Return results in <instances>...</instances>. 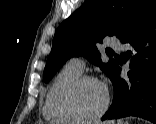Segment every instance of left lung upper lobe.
Wrapping results in <instances>:
<instances>
[{"label":"left lung upper lobe","mask_w":156,"mask_h":124,"mask_svg":"<svg viewBox=\"0 0 156 124\" xmlns=\"http://www.w3.org/2000/svg\"><path fill=\"white\" fill-rule=\"evenodd\" d=\"M151 0H86L57 28L47 59L45 82L71 57L82 55L99 66L109 78L116 67L102 63L96 43L105 36L124 37L137 24Z\"/></svg>","instance_id":"left-lung-upper-lobe-1"}]
</instances>
